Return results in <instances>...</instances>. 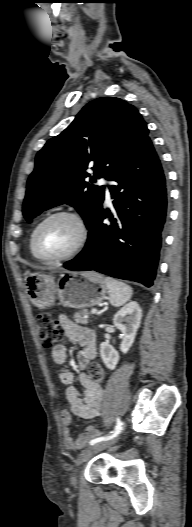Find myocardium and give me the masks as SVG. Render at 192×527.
<instances>
[{"mask_svg": "<svg viewBox=\"0 0 192 527\" xmlns=\"http://www.w3.org/2000/svg\"><path fill=\"white\" fill-rule=\"evenodd\" d=\"M61 216L69 217V218L73 219L76 222V224L78 226V229H79L78 240H77L76 244L74 245V247L68 253H66L64 255H61V256H58V257H53V258L44 257V256H42L39 253V250H38V243H37L38 234H39L41 228L48 221H50L53 218L61 217ZM88 236H89V228H88L87 222H86L85 218L79 212H77L75 210H71V209H60V210L54 211V212L48 214L47 216H45L35 226V228H34V230L32 232V237H31V250H32V253H33L34 257L37 258L41 262L50 263V264L59 263V262H62V261L69 260V259L73 258L74 256H76L84 248V246H85V244H86V242L88 240Z\"/></svg>", "mask_w": 192, "mask_h": 527, "instance_id": "1", "label": "myocardium"}]
</instances>
